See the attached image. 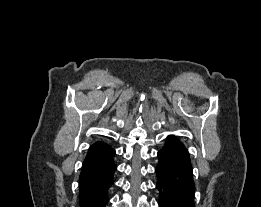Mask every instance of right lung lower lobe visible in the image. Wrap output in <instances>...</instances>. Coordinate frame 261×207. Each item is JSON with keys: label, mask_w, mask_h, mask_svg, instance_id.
I'll return each instance as SVG.
<instances>
[{"label": "right lung lower lobe", "mask_w": 261, "mask_h": 207, "mask_svg": "<svg viewBox=\"0 0 261 207\" xmlns=\"http://www.w3.org/2000/svg\"><path fill=\"white\" fill-rule=\"evenodd\" d=\"M114 156L115 150L100 141L88 149L79 177L80 207L106 206L108 190L114 184L117 169Z\"/></svg>", "instance_id": "obj_1"}]
</instances>
